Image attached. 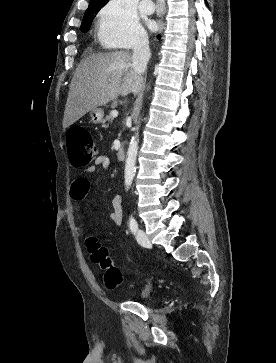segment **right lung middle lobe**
<instances>
[{
	"label": "right lung middle lobe",
	"instance_id": "obj_1",
	"mask_svg": "<svg viewBox=\"0 0 276 363\" xmlns=\"http://www.w3.org/2000/svg\"><path fill=\"white\" fill-rule=\"evenodd\" d=\"M101 7L102 5L100 4L89 5L88 9L84 14L83 21L80 27V30L82 32H87L89 30L95 15L99 12Z\"/></svg>",
	"mask_w": 276,
	"mask_h": 363
}]
</instances>
